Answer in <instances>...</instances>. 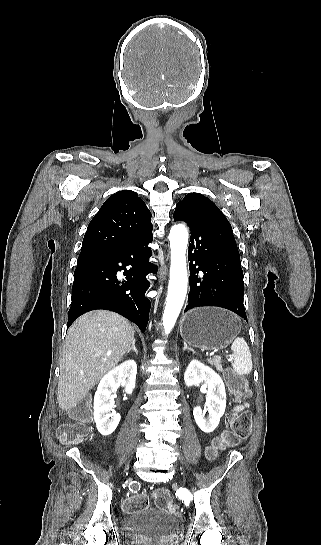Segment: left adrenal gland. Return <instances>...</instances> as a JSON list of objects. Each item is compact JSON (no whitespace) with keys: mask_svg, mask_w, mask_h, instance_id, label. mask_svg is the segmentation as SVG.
I'll use <instances>...</instances> for the list:
<instances>
[{"mask_svg":"<svg viewBox=\"0 0 321 545\" xmlns=\"http://www.w3.org/2000/svg\"><path fill=\"white\" fill-rule=\"evenodd\" d=\"M192 351V353H195V351H193V349H189V347H187V343H184V347H183V351Z\"/></svg>","mask_w":321,"mask_h":545,"instance_id":"1","label":"left adrenal gland"}]
</instances>
